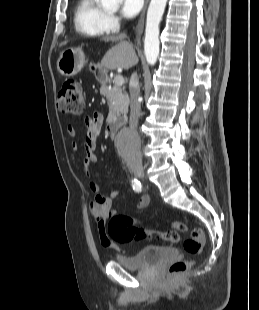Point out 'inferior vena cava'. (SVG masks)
Listing matches in <instances>:
<instances>
[{"label":"inferior vena cava","mask_w":259,"mask_h":310,"mask_svg":"<svg viewBox=\"0 0 259 310\" xmlns=\"http://www.w3.org/2000/svg\"><path fill=\"white\" fill-rule=\"evenodd\" d=\"M119 37L124 39L125 34H121ZM129 91H130L129 126H130V129L134 131L137 128L138 119L140 117V110H141V105L139 101L140 86H139V79H138L137 73H133L131 75L130 82H129ZM132 162L135 164H139V165H141L142 163L141 153L137 149L133 153Z\"/></svg>","instance_id":"1"}]
</instances>
